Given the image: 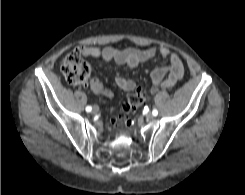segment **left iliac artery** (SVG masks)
I'll return each instance as SVG.
<instances>
[{
  "instance_id": "44dca946",
  "label": "left iliac artery",
  "mask_w": 245,
  "mask_h": 195,
  "mask_svg": "<svg viewBox=\"0 0 245 195\" xmlns=\"http://www.w3.org/2000/svg\"><path fill=\"white\" fill-rule=\"evenodd\" d=\"M152 114H153V116H157L158 115V111L156 109H153Z\"/></svg>"
}]
</instances>
